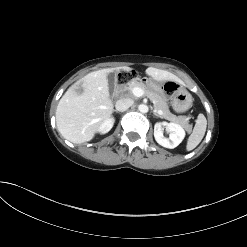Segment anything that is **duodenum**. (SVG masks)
<instances>
[{
  "label": "duodenum",
  "mask_w": 247,
  "mask_h": 247,
  "mask_svg": "<svg viewBox=\"0 0 247 247\" xmlns=\"http://www.w3.org/2000/svg\"><path fill=\"white\" fill-rule=\"evenodd\" d=\"M143 81V80H142ZM133 82H141V79L139 78H130V81L128 82V85H125V88H128V86H131ZM147 83V82H146Z\"/></svg>",
  "instance_id": "1"
}]
</instances>
